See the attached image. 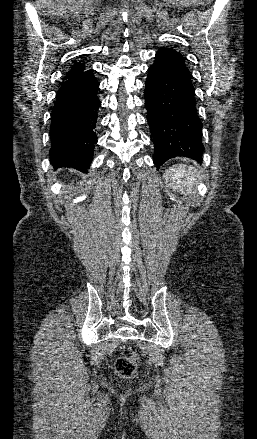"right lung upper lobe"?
Listing matches in <instances>:
<instances>
[{
  "instance_id": "cb5924a9",
  "label": "right lung upper lobe",
  "mask_w": 257,
  "mask_h": 439,
  "mask_svg": "<svg viewBox=\"0 0 257 439\" xmlns=\"http://www.w3.org/2000/svg\"><path fill=\"white\" fill-rule=\"evenodd\" d=\"M84 68H85L84 64L81 62L75 64L72 67V69L67 73V75L64 77V79H69V78H72V77L82 73Z\"/></svg>"
}]
</instances>
